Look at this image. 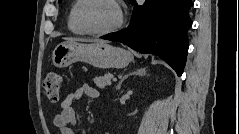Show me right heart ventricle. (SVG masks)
Masks as SVG:
<instances>
[{
    "label": "right heart ventricle",
    "mask_w": 239,
    "mask_h": 134,
    "mask_svg": "<svg viewBox=\"0 0 239 134\" xmlns=\"http://www.w3.org/2000/svg\"><path fill=\"white\" fill-rule=\"evenodd\" d=\"M82 1L83 0H76L72 3L67 19L69 30L77 35L85 34V32L82 30V28L79 26L77 22V12Z\"/></svg>",
    "instance_id": "1"
}]
</instances>
